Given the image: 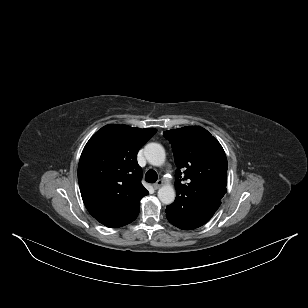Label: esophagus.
Returning <instances> with one entry per match:
<instances>
[{
  "label": "esophagus",
  "instance_id": "esophagus-1",
  "mask_svg": "<svg viewBox=\"0 0 308 308\" xmlns=\"http://www.w3.org/2000/svg\"><path fill=\"white\" fill-rule=\"evenodd\" d=\"M161 185H162V181L158 180L156 183L153 184V188L157 190L161 187Z\"/></svg>",
  "mask_w": 308,
  "mask_h": 308
}]
</instances>
